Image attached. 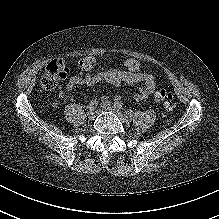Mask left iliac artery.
Returning <instances> with one entry per match:
<instances>
[{"mask_svg":"<svg viewBox=\"0 0 219 219\" xmlns=\"http://www.w3.org/2000/svg\"><path fill=\"white\" fill-rule=\"evenodd\" d=\"M114 105H116L118 108H120V109H122V103L121 102H115V104Z\"/></svg>","mask_w":219,"mask_h":219,"instance_id":"44dca946","label":"left iliac artery"}]
</instances>
